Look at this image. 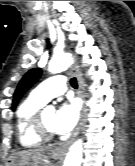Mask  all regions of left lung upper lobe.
<instances>
[{"mask_svg": "<svg viewBox=\"0 0 135 166\" xmlns=\"http://www.w3.org/2000/svg\"><path fill=\"white\" fill-rule=\"evenodd\" d=\"M41 72L39 68H33L23 76L14 93L12 103L13 110L16 108L22 95L39 79Z\"/></svg>", "mask_w": 135, "mask_h": 166, "instance_id": "obj_1", "label": "left lung upper lobe"}]
</instances>
